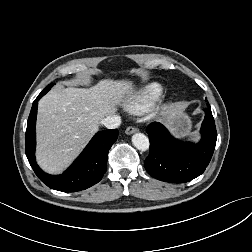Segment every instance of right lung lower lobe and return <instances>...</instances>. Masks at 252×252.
Segmentation results:
<instances>
[{"label": "right lung lower lobe", "mask_w": 252, "mask_h": 252, "mask_svg": "<svg viewBox=\"0 0 252 252\" xmlns=\"http://www.w3.org/2000/svg\"><path fill=\"white\" fill-rule=\"evenodd\" d=\"M33 102L27 122L25 151L28 161L38 178L51 189L62 192H77L98 183L106 172L108 152L118 137V130H104L95 134L74 163L61 175H50L40 169L35 159V125L39 99Z\"/></svg>", "instance_id": "right-lung-lower-lobe-1"}]
</instances>
